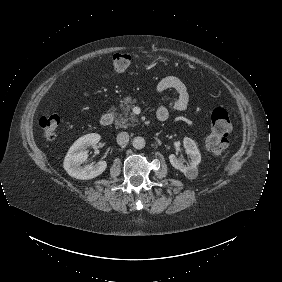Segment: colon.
Returning <instances> with one entry per match:
<instances>
[{
	"instance_id": "obj_1",
	"label": "colon",
	"mask_w": 282,
	"mask_h": 282,
	"mask_svg": "<svg viewBox=\"0 0 282 282\" xmlns=\"http://www.w3.org/2000/svg\"><path fill=\"white\" fill-rule=\"evenodd\" d=\"M135 57V54L116 53L112 59V66L116 71L124 72L133 64ZM59 124L60 118L56 114L42 117L39 125L43 137L53 139L57 134ZM230 131L231 120L228 111L224 108H216L210 117V130L206 138L207 150L217 157L224 156Z\"/></svg>"
}]
</instances>
